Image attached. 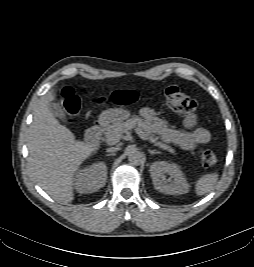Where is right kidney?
Instances as JSON below:
<instances>
[{
	"label": "right kidney",
	"instance_id": "1",
	"mask_svg": "<svg viewBox=\"0 0 254 267\" xmlns=\"http://www.w3.org/2000/svg\"><path fill=\"white\" fill-rule=\"evenodd\" d=\"M107 179V166L97 162L80 170L75 178V189L79 193H93L104 187Z\"/></svg>",
	"mask_w": 254,
	"mask_h": 267
}]
</instances>
